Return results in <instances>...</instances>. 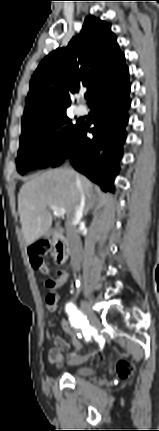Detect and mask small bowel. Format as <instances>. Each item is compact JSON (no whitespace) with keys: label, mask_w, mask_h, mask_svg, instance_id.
Instances as JSON below:
<instances>
[{"label":"small bowel","mask_w":159,"mask_h":431,"mask_svg":"<svg viewBox=\"0 0 159 431\" xmlns=\"http://www.w3.org/2000/svg\"><path fill=\"white\" fill-rule=\"evenodd\" d=\"M68 276V271L61 270L58 272L56 279L48 280L46 282V286L49 289L58 288L67 281ZM47 337L51 338L49 334H47ZM53 344L54 346L48 352L49 361L52 363H60L63 360L64 352L69 349V343L65 341L62 337L55 336L53 337Z\"/></svg>","instance_id":"c3829d8e"}]
</instances>
